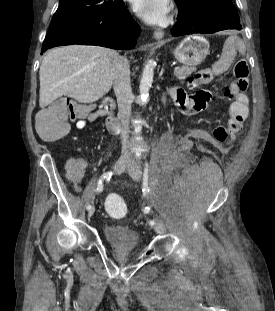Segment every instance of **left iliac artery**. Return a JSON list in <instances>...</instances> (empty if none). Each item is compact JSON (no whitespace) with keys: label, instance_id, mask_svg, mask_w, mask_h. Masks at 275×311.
Returning a JSON list of instances; mask_svg holds the SVG:
<instances>
[{"label":"left iliac artery","instance_id":"left-iliac-artery-1","mask_svg":"<svg viewBox=\"0 0 275 311\" xmlns=\"http://www.w3.org/2000/svg\"><path fill=\"white\" fill-rule=\"evenodd\" d=\"M143 191L144 192H149V187H148V164L146 163L145 164V169H144V174H143ZM147 211L149 212L150 211V208L147 207L146 208ZM150 225H154L155 222L152 220L149 222Z\"/></svg>","mask_w":275,"mask_h":311}]
</instances>
